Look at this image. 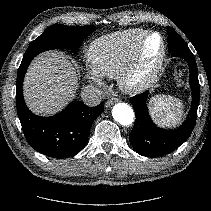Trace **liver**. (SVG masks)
I'll use <instances>...</instances> for the list:
<instances>
[{"label":"liver","instance_id":"1","mask_svg":"<svg viewBox=\"0 0 211 211\" xmlns=\"http://www.w3.org/2000/svg\"><path fill=\"white\" fill-rule=\"evenodd\" d=\"M77 85L72 63L60 52H44L28 68L23 84L24 99L33 113L54 115L74 98Z\"/></svg>","mask_w":211,"mask_h":211}]
</instances>
